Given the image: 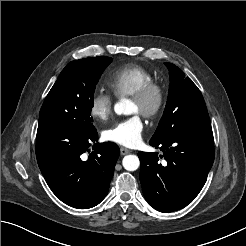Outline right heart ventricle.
Returning <instances> with one entry per match:
<instances>
[{
    "label": "right heart ventricle",
    "mask_w": 246,
    "mask_h": 246,
    "mask_svg": "<svg viewBox=\"0 0 246 246\" xmlns=\"http://www.w3.org/2000/svg\"><path fill=\"white\" fill-rule=\"evenodd\" d=\"M154 82V76L138 65H125L108 77V86L118 98L132 96L146 85Z\"/></svg>",
    "instance_id": "1"
}]
</instances>
